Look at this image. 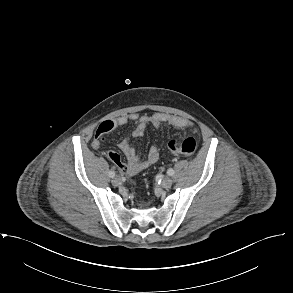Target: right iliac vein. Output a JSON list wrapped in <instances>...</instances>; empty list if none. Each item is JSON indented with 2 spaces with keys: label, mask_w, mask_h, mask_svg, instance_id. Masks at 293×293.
Masks as SVG:
<instances>
[{
  "label": "right iliac vein",
  "mask_w": 293,
  "mask_h": 293,
  "mask_svg": "<svg viewBox=\"0 0 293 293\" xmlns=\"http://www.w3.org/2000/svg\"><path fill=\"white\" fill-rule=\"evenodd\" d=\"M122 180L119 176H115L113 179H112V184L114 186H119L121 184Z\"/></svg>",
  "instance_id": "right-iliac-vein-1"
}]
</instances>
